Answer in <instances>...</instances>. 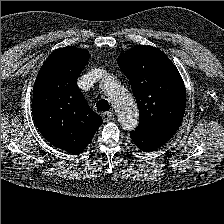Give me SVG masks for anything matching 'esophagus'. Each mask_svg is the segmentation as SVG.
<instances>
[{"mask_svg": "<svg viewBox=\"0 0 224 224\" xmlns=\"http://www.w3.org/2000/svg\"><path fill=\"white\" fill-rule=\"evenodd\" d=\"M101 117L104 122H108L114 117V115L112 112H103Z\"/></svg>", "mask_w": 224, "mask_h": 224, "instance_id": "34e87169", "label": "esophagus"}]
</instances>
